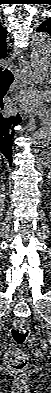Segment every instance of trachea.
I'll use <instances>...</instances> for the list:
<instances>
[{"label": "trachea", "mask_w": 51, "mask_h": 393, "mask_svg": "<svg viewBox=\"0 0 51 393\" xmlns=\"http://www.w3.org/2000/svg\"><path fill=\"white\" fill-rule=\"evenodd\" d=\"M14 80V74L6 69L0 73V83L2 84H10Z\"/></svg>", "instance_id": "1"}]
</instances>
